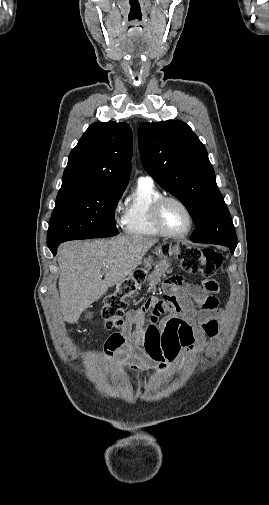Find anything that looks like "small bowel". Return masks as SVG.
Segmentation results:
<instances>
[{"label":"small bowel","instance_id":"1","mask_svg":"<svg viewBox=\"0 0 269 505\" xmlns=\"http://www.w3.org/2000/svg\"><path fill=\"white\" fill-rule=\"evenodd\" d=\"M189 276L205 283L203 291L179 295L176 290L165 289L162 295L145 298L141 308L127 314L128 331L105 342L104 353L109 361L117 357L129 363L134 372L140 371V364L157 363L164 368L181 349L196 352L204 349L207 337H217L221 312L214 294L218 283L205 281L202 274ZM178 283L175 280L174 286Z\"/></svg>","mask_w":269,"mask_h":505}]
</instances>
